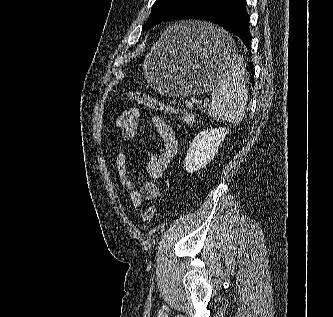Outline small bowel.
<instances>
[{
    "mask_svg": "<svg viewBox=\"0 0 333 317\" xmlns=\"http://www.w3.org/2000/svg\"><path fill=\"white\" fill-rule=\"evenodd\" d=\"M140 116L141 112L138 108H129L122 111L116 118L115 124L126 139H135ZM151 120L161 139V146L151 155L146 164L149 180L137 188L129 176L126 154L118 151L115 156V166L121 189L124 193H128V202L133 208H140L143 201H151L159 196L161 179L178 148V139L173 128L160 116L153 115Z\"/></svg>",
    "mask_w": 333,
    "mask_h": 317,
    "instance_id": "1",
    "label": "small bowel"
}]
</instances>
